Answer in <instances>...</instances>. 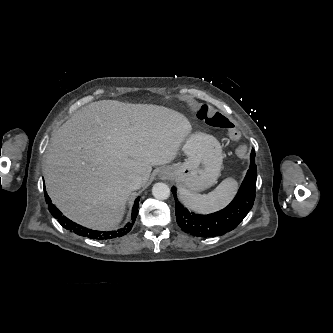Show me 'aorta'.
<instances>
[{
    "label": "aorta",
    "instance_id": "aorta-1",
    "mask_svg": "<svg viewBox=\"0 0 333 333\" xmlns=\"http://www.w3.org/2000/svg\"><path fill=\"white\" fill-rule=\"evenodd\" d=\"M152 195L159 200H165L170 196V189L165 183H156L152 188Z\"/></svg>",
    "mask_w": 333,
    "mask_h": 333
}]
</instances>
